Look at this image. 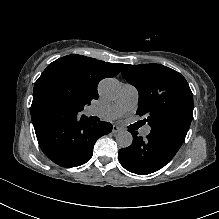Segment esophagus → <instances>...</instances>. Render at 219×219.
Masks as SVG:
<instances>
[{"label": "esophagus", "mask_w": 219, "mask_h": 219, "mask_svg": "<svg viewBox=\"0 0 219 219\" xmlns=\"http://www.w3.org/2000/svg\"><path fill=\"white\" fill-rule=\"evenodd\" d=\"M121 131H122V128H120L119 126L113 125V128H112L113 133H118Z\"/></svg>", "instance_id": "34e87169"}]
</instances>
